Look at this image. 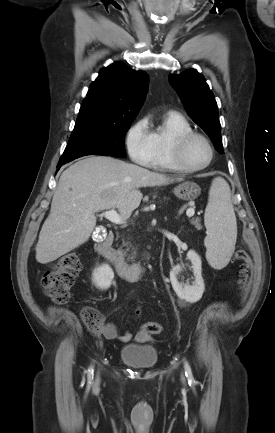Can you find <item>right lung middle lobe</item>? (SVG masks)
I'll list each match as a JSON object with an SVG mask.
<instances>
[{"label": "right lung middle lobe", "mask_w": 275, "mask_h": 433, "mask_svg": "<svg viewBox=\"0 0 275 433\" xmlns=\"http://www.w3.org/2000/svg\"><path fill=\"white\" fill-rule=\"evenodd\" d=\"M132 121H77L59 164L86 155L125 157L124 137Z\"/></svg>", "instance_id": "dd1d6c3e"}]
</instances>
